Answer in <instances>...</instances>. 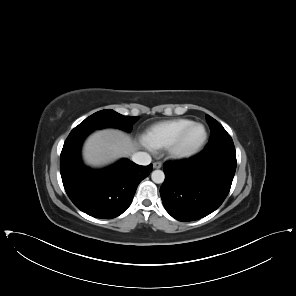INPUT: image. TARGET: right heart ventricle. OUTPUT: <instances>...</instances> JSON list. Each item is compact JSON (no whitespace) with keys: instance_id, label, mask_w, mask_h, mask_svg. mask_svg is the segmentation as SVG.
<instances>
[{"instance_id":"1","label":"right heart ventricle","mask_w":296,"mask_h":296,"mask_svg":"<svg viewBox=\"0 0 296 296\" xmlns=\"http://www.w3.org/2000/svg\"><path fill=\"white\" fill-rule=\"evenodd\" d=\"M191 122L190 119L180 118L156 123L145 132L144 141L152 148H165Z\"/></svg>"}]
</instances>
